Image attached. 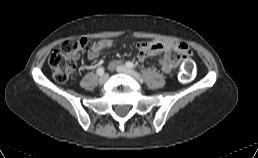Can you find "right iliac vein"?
<instances>
[{
    "label": "right iliac vein",
    "instance_id": "right-iliac-vein-1",
    "mask_svg": "<svg viewBox=\"0 0 258 158\" xmlns=\"http://www.w3.org/2000/svg\"><path fill=\"white\" fill-rule=\"evenodd\" d=\"M108 78H109V75H108V74L102 75V76L99 78V83H100V84L106 83V81L108 80Z\"/></svg>",
    "mask_w": 258,
    "mask_h": 158
}]
</instances>
